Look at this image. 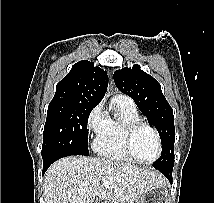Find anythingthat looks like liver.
Wrapping results in <instances>:
<instances>
[{"label": "liver", "mask_w": 214, "mask_h": 203, "mask_svg": "<svg viewBox=\"0 0 214 203\" xmlns=\"http://www.w3.org/2000/svg\"><path fill=\"white\" fill-rule=\"evenodd\" d=\"M103 181H110L108 187ZM163 175L123 162L70 156L53 163L44 176L45 203H94L95 198L136 203Z\"/></svg>", "instance_id": "liver-1"}]
</instances>
